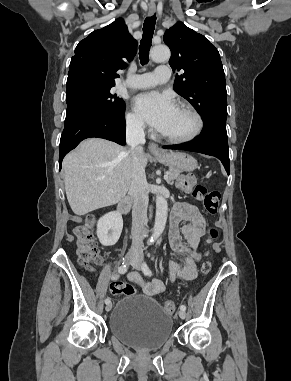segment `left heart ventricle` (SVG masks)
Segmentation results:
<instances>
[{
	"instance_id": "obj_1",
	"label": "left heart ventricle",
	"mask_w": 291,
	"mask_h": 381,
	"mask_svg": "<svg viewBox=\"0 0 291 381\" xmlns=\"http://www.w3.org/2000/svg\"><path fill=\"white\" fill-rule=\"evenodd\" d=\"M195 124V118L189 111L176 106L161 133L174 137L186 136L194 130Z\"/></svg>"
}]
</instances>
